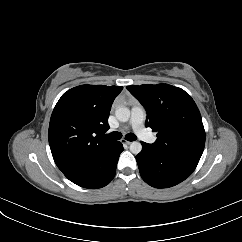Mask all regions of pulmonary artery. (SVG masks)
I'll return each instance as SVG.
<instances>
[{
    "instance_id": "1",
    "label": "pulmonary artery",
    "mask_w": 242,
    "mask_h": 242,
    "mask_svg": "<svg viewBox=\"0 0 242 242\" xmlns=\"http://www.w3.org/2000/svg\"><path fill=\"white\" fill-rule=\"evenodd\" d=\"M145 111L140 105H135L131 109L130 125L134 132L147 143H154L155 137L152 136L144 126Z\"/></svg>"
}]
</instances>
